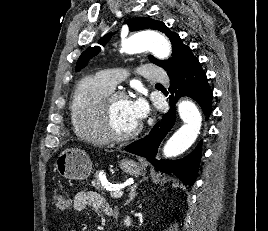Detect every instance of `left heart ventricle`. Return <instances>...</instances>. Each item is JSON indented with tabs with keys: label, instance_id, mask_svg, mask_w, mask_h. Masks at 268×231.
Instances as JSON below:
<instances>
[{
	"label": "left heart ventricle",
	"instance_id": "1",
	"mask_svg": "<svg viewBox=\"0 0 268 231\" xmlns=\"http://www.w3.org/2000/svg\"><path fill=\"white\" fill-rule=\"evenodd\" d=\"M113 122L116 129L120 132H129L134 130L140 123L135 116L131 101L121 99L115 102L112 109Z\"/></svg>",
	"mask_w": 268,
	"mask_h": 231
}]
</instances>
